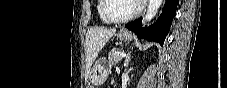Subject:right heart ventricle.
Instances as JSON below:
<instances>
[{
	"label": "right heart ventricle",
	"instance_id": "e07e8e85",
	"mask_svg": "<svg viewBox=\"0 0 227 88\" xmlns=\"http://www.w3.org/2000/svg\"><path fill=\"white\" fill-rule=\"evenodd\" d=\"M98 2H99V4H98V12H99V15H100V19H101L103 22L108 23V22L106 21V19L103 17L102 13H101L102 3H101V1H98Z\"/></svg>",
	"mask_w": 227,
	"mask_h": 88
}]
</instances>
